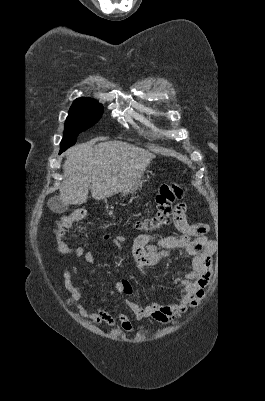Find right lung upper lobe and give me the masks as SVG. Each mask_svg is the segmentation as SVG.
I'll list each match as a JSON object with an SVG mask.
<instances>
[{
	"mask_svg": "<svg viewBox=\"0 0 265 401\" xmlns=\"http://www.w3.org/2000/svg\"><path fill=\"white\" fill-rule=\"evenodd\" d=\"M85 104H98V103L96 102V100H94L92 98L82 97V98H77L76 100H74L72 106L85 105Z\"/></svg>",
	"mask_w": 265,
	"mask_h": 401,
	"instance_id": "cb5924a9",
	"label": "right lung upper lobe"
}]
</instances>
